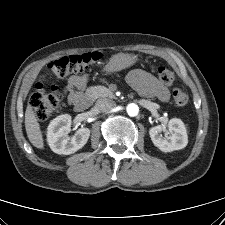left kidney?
<instances>
[{"label":"left kidney","instance_id":"left-kidney-1","mask_svg":"<svg viewBox=\"0 0 225 225\" xmlns=\"http://www.w3.org/2000/svg\"><path fill=\"white\" fill-rule=\"evenodd\" d=\"M162 126H154L149 130V135L153 144L163 152H172L183 149L187 146L188 136L184 123L177 118H173L168 123L169 136L162 138Z\"/></svg>","mask_w":225,"mask_h":225}]
</instances>
